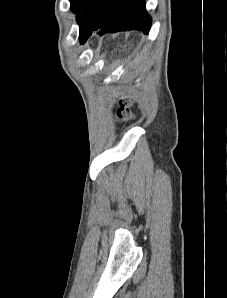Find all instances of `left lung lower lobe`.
Masks as SVG:
<instances>
[{"instance_id": "left-lung-lower-lobe-1", "label": "left lung lower lobe", "mask_w": 227, "mask_h": 298, "mask_svg": "<svg viewBox=\"0 0 227 298\" xmlns=\"http://www.w3.org/2000/svg\"><path fill=\"white\" fill-rule=\"evenodd\" d=\"M151 18L145 9V0H107L105 8L92 31L81 41L84 43L92 32L115 33L138 30L148 34Z\"/></svg>"}]
</instances>
